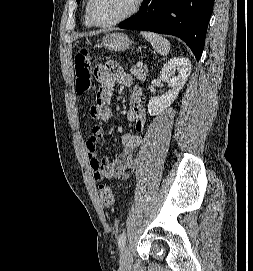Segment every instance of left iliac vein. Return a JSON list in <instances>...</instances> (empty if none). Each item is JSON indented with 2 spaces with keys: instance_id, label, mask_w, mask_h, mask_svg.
<instances>
[{
  "instance_id": "left-iliac-vein-1",
  "label": "left iliac vein",
  "mask_w": 253,
  "mask_h": 271,
  "mask_svg": "<svg viewBox=\"0 0 253 271\" xmlns=\"http://www.w3.org/2000/svg\"><path fill=\"white\" fill-rule=\"evenodd\" d=\"M120 265L124 269H130L132 266V255L130 249L127 246L124 247L121 252Z\"/></svg>"
}]
</instances>
